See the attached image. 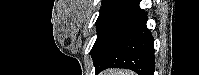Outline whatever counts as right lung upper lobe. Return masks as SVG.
Here are the masks:
<instances>
[{
  "mask_svg": "<svg viewBox=\"0 0 199 75\" xmlns=\"http://www.w3.org/2000/svg\"><path fill=\"white\" fill-rule=\"evenodd\" d=\"M115 1H117V0H103L102 4L112 3V2H115ZM127 1L129 2L130 0H127Z\"/></svg>",
  "mask_w": 199,
  "mask_h": 75,
  "instance_id": "right-lung-upper-lobe-1",
  "label": "right lung upper lobe"
}]
</instances>
